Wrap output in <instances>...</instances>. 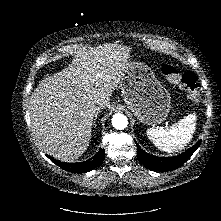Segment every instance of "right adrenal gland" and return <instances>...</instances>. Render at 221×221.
<instances>
[{"label": "right adrenal gland", "instance_id": "obj_1", "mask_svg": "<svg viewBox=\"0 0 221 221\" xmlns=\"http://www.w3.org/2000/svg\"><path fill=\"white\" fill-rule=\"evenodd\" d=\"M101 109H103L102 107H99L98 109H97V112H96V115H95V118H94V125H95V127H96V120H97V116H98V113L100 112V110Z\"/></svg>", "mask_w": 221, "mask_h": 221}]
</instances>
